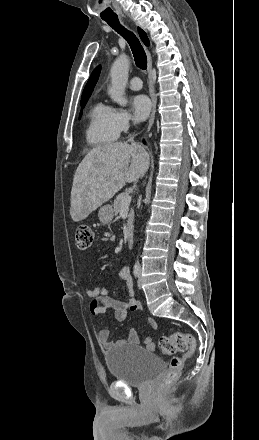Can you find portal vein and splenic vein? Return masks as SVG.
I'll return each mask as SVG.
<instances>
[{"label": "portal vein and splenic vein", "mask_w": 259, "mask_h": 440, "mask_svg": "<svg viewBox=\"0 0 259 440\" xmlns=\"http://www.w3.org/2000/svg\"><path fill=\"white\" fill-rule=\"evenodd\" d=\"M130 202H131V196L130 195H127V196H125L122 199V203H123L124 206H128L130 204Z\"/></svg>", "instance_id": "18ae733b"}]
</instances>
